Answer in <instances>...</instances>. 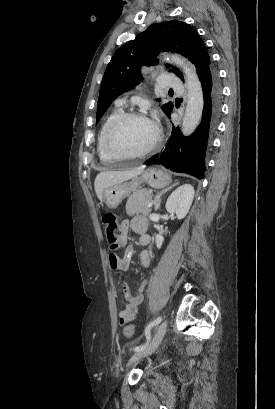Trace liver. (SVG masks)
<instances>
[{
	"instance_id": "6515ba94",
	"label": "liver",
	"mask_w": 275,
	"mask_h": 409,
	"mask_svg": "<svg viewBox=\"0 0 275 409\" xmlns=\"http://www.w3.org/2000/svg\"><path fill=\"white\" fill-rule=\"evenodd\" d=\"M143 168L144 166H138V168H134V170H105V172H99L94 182L99 200H103L104 188L113 186V184H119V182H124V180H129V178H133V176H138V174L143 172Z\"/></svg>"
}]
</instances>
